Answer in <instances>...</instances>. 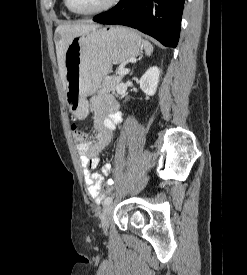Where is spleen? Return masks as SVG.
<instances>
[{
    "instance_id": "spleen-1",
    "label": "spleen",
    "mask_w": 247,
    "mask_h": 275,
    "mask_svg": "<svg viewBox=\"0 0 247 275\" xmlns=\"http://www.w3.org/2000/svg\"><path fill=\"white\" fill-rule=\"evenodd\" d=\"M142 43H143V47L146 55L150 56L153 52V45L147 40H143Z\"/></svg>"
}]
</instances>
